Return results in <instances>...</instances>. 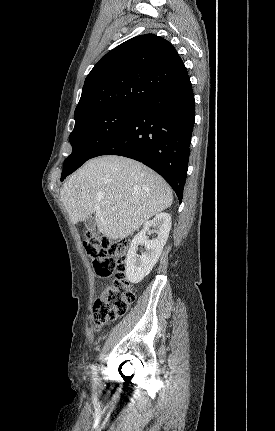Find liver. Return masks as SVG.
Returning a JSON list of instances; mask_svg holds the SVG:
<instances>
[{
    "label": "liver",
    "instance_id": "6515ba94",
    "mask_svg": "<svg viewBox=\"0 0 275 431\" xmlns=\"http://www.w3.org/2000/svg\"><path fill=\"white\" fill-rule=\"evenodd\" d=\"M60 195L73 224L94 213L99 232L111 240L126 238L173 201L160 175L117 155L86 162L63 184Z\"/></svg>",
    "mask_w": 275,
    "mask_h": 431
}]
</instances>
